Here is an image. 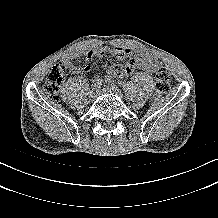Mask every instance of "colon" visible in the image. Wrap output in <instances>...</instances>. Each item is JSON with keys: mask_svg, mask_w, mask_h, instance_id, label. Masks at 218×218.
Wrapping results in <instances>:
<instances>
[{"mask_svg": "<svg viewBox=\"0 0 218 218\" xmlns=\"http://www.w3.org/2000/svg\"><path fill=\"white\" fill-rule=\"evenodd\" d=\"M66 71V66L62 63H58L52 68L45 81L44 92L54 101L59 99V88L64 81ZM123 73L124 66L120 64L113 65L108 69V74L111 76L120 77ZM155 78V97L160 98L168 92L171 84V76L169 70L159 62L156 64Z\"/></svg>", "mask_w": 218, "mask_h": 218, "instance_id": "5ec220e1", "label": "colon"}]
</instances>
